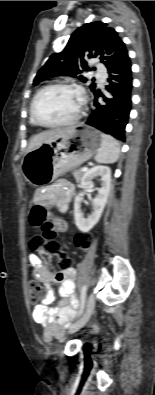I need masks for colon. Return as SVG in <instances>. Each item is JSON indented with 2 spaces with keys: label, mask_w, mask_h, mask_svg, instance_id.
<instances>
[{
  "label": "colon",
  "mask_w": 155,
  "mask_h": 395,
  "mask_svg": "<svg viewBox=\"0 0 155 395\" xmlns=\"http://www.w3.org/2000/svg\"><path fill=\"white\" fill-rule=\"evenodd\" d=\"M30 222L34 226H40L44 229V234L35 236L30 241V248L34 251H40L49 256H57L61 261L64 272H75L76 267L69 259V251L61 250L59 243L54 240L51 227L53 224L47 221L46 210L40 205L33 207L30 213ZM91 243V237L86 235H76L75 244L81 248H87ZM46 290L37 281L29 282V297L32 303H37L45 298Z\"/></svg>",
  "instance_id": "colon-1"
}]
</instances>
